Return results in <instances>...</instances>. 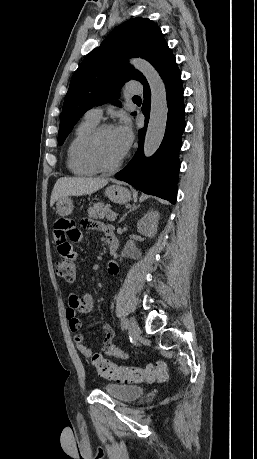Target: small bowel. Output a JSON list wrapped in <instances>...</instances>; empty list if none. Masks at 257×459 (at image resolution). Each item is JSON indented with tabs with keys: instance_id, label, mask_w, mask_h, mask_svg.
Returning a JSON list of instances; mask_svg holds the SVG:
<instances>
[{
	"instance_id": "1",
	"label": "small bowel",
	"mask_w": 257,
	"mask_h": 459,
	"mask_svg": "<svg viewBox=\"0 0 257 459\" xmlns=\"http://www.w3.org/2000/svg\"><path fill=\"white\" fill-rule=\"evenodd\" d=\"M75 220L79 226H90L96 228V219L86 217L85 213H76ZM53 224V239L57 244V251L59 257L64 261H83L84 253L78 249V244H85L86 238L82 234L81 227H75L72 217H56ZM104 232L107 230L113 231L108 226H102ZM108 272L117 276L119 268L114 262H109L107 265ZM94 307V298L90 293H83L81 295L71 294L68 299V306L65 310V317L68 321L69 329L75 333L74 339L78 351L87 359H91L92 351L84 343V336L80 333L82 323L78 314H85L90 312ZM104 332V339L102 343V350L105 354L118 358H127L128 355L124 353L117 345L113 343L115 338L114 330L107 324L102 325Z\"/></svg>"
}]
</instances>
